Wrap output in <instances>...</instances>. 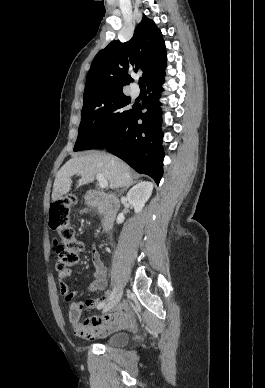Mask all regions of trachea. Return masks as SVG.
Instances as JSON below:
<instances>
[{
  "label": "trachea",
  "instance_id": "1",
  "mask_svg": "<svg viewBox=\"0 0 265 388\" xmlns=\"http://www.w3.org/2000/svg\"><path fill=\"white\" fill-rule=\"evenodd\" d=\"M139 84H140L141 86H144V85H145V79H144V78H140V79H139Z\"/></svg>",
  "mask_w": 265,
  "mask_h": 388
}]
</instances>
